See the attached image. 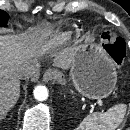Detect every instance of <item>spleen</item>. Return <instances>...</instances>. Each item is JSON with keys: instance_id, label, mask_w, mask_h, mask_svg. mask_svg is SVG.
I'll return each instance as SVG.
<instances>
[{"instance_id": "3e777b00", "label": "spleen", "mask_w": 130, "mask_h": 130, "mask_svg": "<svg viewBox=\"0 0 130 130\" xmlns=\"http://www.w3.org/2000/svg\"><path fill=\"white\" fill-rule=\"evenodd\" d=\"M126 112L125 104H117L106 113H93L85 117L75 130H115Z\"/></svg>"}]
</instances>
